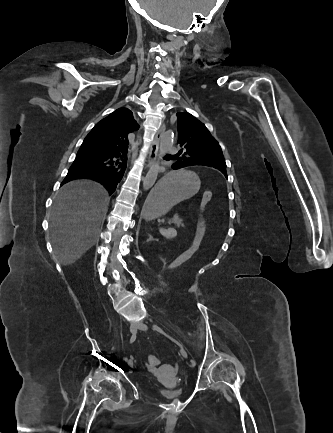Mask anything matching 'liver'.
Wrapping results in <instances>:
<instances>
[{"instance_id": "1", "label": "liver", "mask_w": 333, "mask_h": 433, "mask_svg": "<svg viewBox=\"0 0 333 433\" xmlns=\"http://www.w3.org/2000/svg\"><path fill=\"white\" fill-rule=\"evenodd\" d=\"M110 197L106 189L88 179L71 181L55 195L50 211V233L59 263H75L97 241Z\"/></svg>"}]
</instances>
